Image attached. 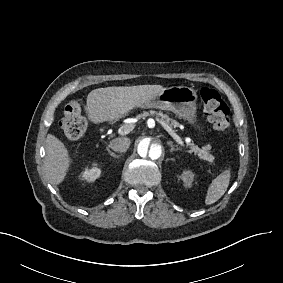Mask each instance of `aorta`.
Listing matches in <instances>:
<instances>
[{
  "label": "aorta",
  "instance_id": "762f6f07",
  "mask_svg": "<svg viewBox=\"0 0 283 283\" xmlns=\"http://www.w3.org/2000/svg\"><path fill=\"white\" fill-rule=\"evenodd\" d=\"M168 144V142H167ZM165 142L160 135L147 134L136 142V151L140 161L145 164H154L162 160Z\"/></svg>",
  "mask_w": 283,
  "mask_h": 283
}]
</instances>
